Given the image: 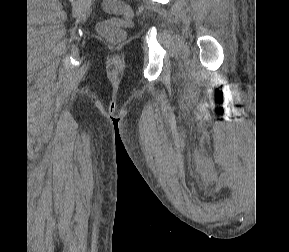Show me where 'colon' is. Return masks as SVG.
Instances as JSON below:
<instances>
[{
	"label": "colon",
	"instance_id": "1",
	"mask_svg": "<svg viewBox=\"0 0 289 252\" xmlns=\"http://www.w3.org/2000/svg\"><path fill=\"white\" fill-rule=\"evenodd\" d=\"M103 7L107 13L119 15L121 18L112 17L100 22L98 32L110 41H122L125 37L123 28L129 25L133 18L132 9L122 0H104Z\"/></svg>",
	"mask_w": 289,
	"mask_h": 252
}]
</instances>
